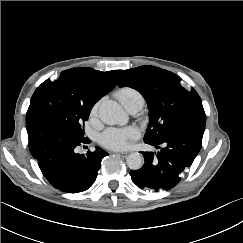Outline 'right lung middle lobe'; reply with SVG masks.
Returning a JSON list of instances; mask_svg holds the SVG:
<instances>
[{"label": "right lung middle lobe", "mask_w": 243, "mask_h": 243, "mask_svg": "<svg viewBox=\"0 0 243 243\" xmlns=\"http://www.w3.org/2000/svg\"><path fill=\"white\" fill-rule=\"evenodd\" d=\"M92 106L69 95L55 81L47 79L34 92L26 119L47 117L58 121L79 137H84V122Z\"/></svg>", "instance_id": "right-lung-middle-lobe-1"}]
</instances>
